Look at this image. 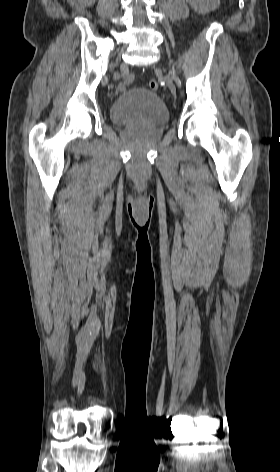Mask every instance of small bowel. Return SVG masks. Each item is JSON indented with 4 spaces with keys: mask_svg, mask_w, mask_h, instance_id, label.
<instances>
[{
    "mask_svg": "<svg viewBox=\"0 0 280 472\" xmlns=\"http://www.w3.org/2000/svg\"><path fill=\"white\" fill-rule=\"evenodd\" d=\"M133 80H134L133 75L128 76V77L124 80V82L121 84L120 88H121V89H124L127 85L131 84V83L133 82Z\"/></svg>",
    "mask_w": 280,
    "mask_h": 472,
    "instance_id": "1",
    "label": "small bowel"
}]
</instances>
